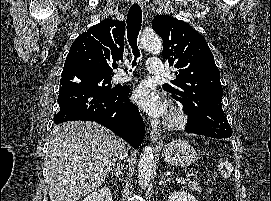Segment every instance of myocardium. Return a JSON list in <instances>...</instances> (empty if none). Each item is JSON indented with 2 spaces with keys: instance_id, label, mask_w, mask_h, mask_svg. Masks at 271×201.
Wrapping results in <instances>:
<instances>
[{
  "instance_id": "f54148a6",
  "label": "myocardium",
  "mask_w": 271,
  "mask_h": 201,
  "mask_svg": "<svg viewBox=\"0 0 271 201\" xmlns=\"http://www.w3.org/2000/svg\"><path fill=\"white\" fill-rule=\"evenodd\" d=\"M189 122V112L181 103H175L170 111V114L165 121V126L169 129H180Z\"/></svg>"
}]
</instances>
